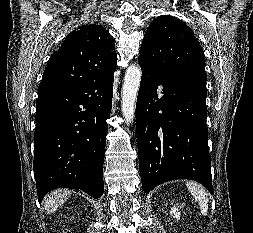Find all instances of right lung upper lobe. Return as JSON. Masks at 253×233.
Wrapping results in <instances>:
<instances>
[{
	"label": "right lung upper lobe",
	"mask_w": 253,
	"mask_h": 233,
	"mask_svg": "<svg viewBox=\"0 0 253 233\" xmlns=\"http://www.w3.org/2000/svg\"><path fill=\"white\" fill-rule=\"evenodd\" d=\"M114 41L99 25H84L69 33L52 54L38 92L47 88L90 80L115 71Z\"/></svg>",
	"instance_id": "1"
}]
</instances>
